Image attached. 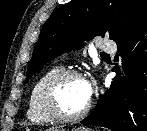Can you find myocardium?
I'll return each instance as SVG.
<instances>
[{
    "label": "myocardium",
    "instance_id": "obj_1",
    "mask_svg": "<svg viewBox=\"0 0 147 131\" xmlns=\"http://www.w3.org/2000/svg\"><path fill=\"white\" fill-rule=\"evenodd\" d=\"M70 78H78L83 80V75L73 69L62 70L52 76L44 85L41 100L45 111L54 119L63 122L76 121L87 115L91 108V103L88 101L87 105L80 112L75 114L65 113L58 102V91L60 86Z\"/></svg>",
    "mask_w": 147,
    "mask_h": 131
}]
</instances>
